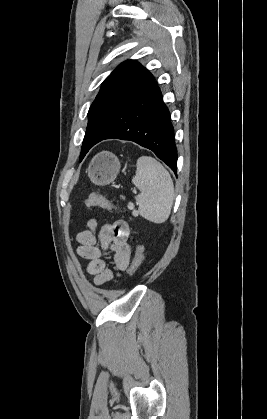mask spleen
<instances>
[{"label":"spleen","mask_w":267,"mask_h":419,"mask_svg":"<svg viewBox=\"0 0 267 419\" xmlns=\"http://www.w3.org/2000/svg\"><path fill=\"white\" fill-rule=\"evenodd\" d=\"M133 184L140 190L135 197L139 214L153 223H163L170 215L174 201V184L169 172L151 156L137 160Z\"/></svg>","instance_id":"3e777b00"}]
</instances>
